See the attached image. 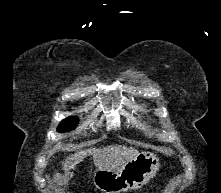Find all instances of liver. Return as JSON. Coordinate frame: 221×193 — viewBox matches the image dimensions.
<instances>
[{
	"label": "liver",
	"mask_w": 221,
	"mask_h": 193,
	"mask_svg": "<svg viewBox=\"0 0 221 193\" xmlns=\"http://www.w3.org/2000/svg\"><path fill=\"white\" fill-rule=\"evenodd\" d=\"M138 154L139 151L137 149L125 145L90 148L69 155L65 161L62 162V165L63 169L68 171L70 168L82 162L87 156L92 155L94 165L97 169L118 170Z\"/></svg>",
	"instance_id": "obj_1"
}]
</instances>
